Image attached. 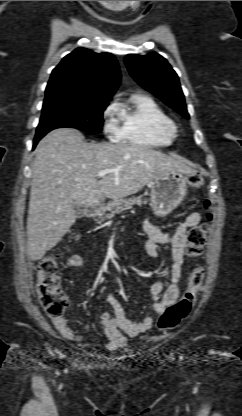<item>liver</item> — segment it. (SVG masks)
<instances>
[{
  "label": "liver",
  "instance_id": "liver-1",
  "mask_svg": "<svg viewBox=\"0 0 242 416\" xmlns=\"http://www.w3.org/2000/svg\"><path fill=\"white\" fill-rule=\"evenodd\" d=\"M112 170L98 178V172ZM195 171L175 158L130 143H87L75 129L48 133L36 147L27 218V251L40 260L75 223L74 203L98 206L137 193L163 172Z\"/></svg>",
  "mask_w": 242,
  "mask_h": 416
}]
</instances>
